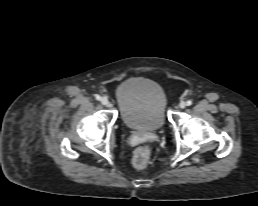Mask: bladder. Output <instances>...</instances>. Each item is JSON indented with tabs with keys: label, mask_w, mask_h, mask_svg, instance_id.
Wrapping results in <instances>:
<instances>
[{
	"label": "bladder",
	"mask_w": 258,
	"mask_h": 206,
	"mask_svg": "<svg viewBox=\"0 0 258 206\" xmlns=\"http://www.w3.org/2000/svg\"><path fill=\"white\" fill-rule=\"evenodd\" d=\"M115 100L120 118L129 129L156 131L166 122V96L152 80L123 81L115 90Z\"/></svg>",
	"instance_id": "31cf9c89"
}]
</instances>
